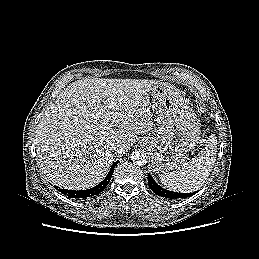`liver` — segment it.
<instances>
[{"label":"liver","mask_w":259,"mask_h":259,"mask_svg":"<svg viewBox=\"0 0 259 259\" xmlns=\"http://www.w3.org/2000/svg\"><path fill=\"white\" fill-rule=\"evenodd\" d=\"M160 83L137 79H84L62 90L36 127L41 172L52 184L84 190L107 175L114 154L153 128L150 96ZM119 143L117 151L111 144Z\"/></svg>","instance_id":"6515ba94"}]
</instances>
